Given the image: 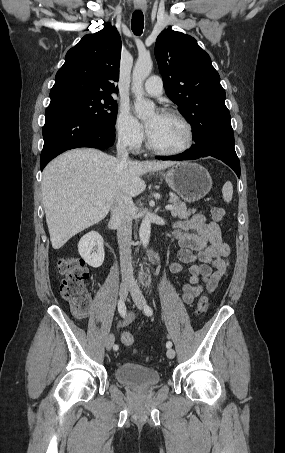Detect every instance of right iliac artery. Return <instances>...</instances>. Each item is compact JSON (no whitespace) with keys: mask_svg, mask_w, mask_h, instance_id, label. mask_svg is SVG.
<instances>
[{"mask_svg":"<svg viewBox=\"0 0 285 453\" xmlns=\"http://www.w3.org/2000/svg\"><path fill=\"white\" fill-rule=\"evenodd\" d=\"M118 311L122 317H124L126 315V305L122 299H120L118 302ZM113 348H114V350H118L119 347H118V345H114Z\"/></svg>","mask_w":285,"mask_h":453,"instance_id":"right-iliac-artery-1","label":"right iliac artery"}]
</instances>
